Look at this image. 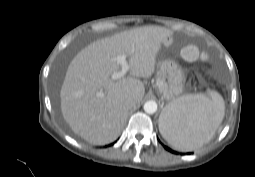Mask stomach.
I'll return each mask as SVG.
<instances>
[{
  "mask_svg": "<svg viewBox=\"0 0 255 177\" xmlns=\"http://www.w3.org/2000/svg\"><path fill=\"white\" fill-rule=\"evenodd\" d=\"M171 38L165 39L167 44ZM185 75L179 64L173 60L164 59L157 63L156 88L170 103L180 98L184 91Z\"/></svg>",
  "mask_w": 255,
  "mask_h": 177,
  "instance_id": "0dacf381",
  "label": "stomach"
}]
</instances>
